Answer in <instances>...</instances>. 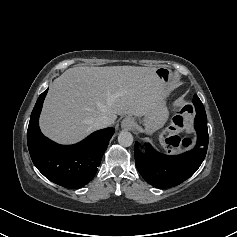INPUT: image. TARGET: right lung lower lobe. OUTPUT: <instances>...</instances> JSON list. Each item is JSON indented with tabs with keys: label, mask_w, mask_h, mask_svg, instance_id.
Listing matches in <instances>:
<instances>
[{
	"label": "right lung lower lobe",
	"mask_w": 237,
	"mask_h": 237,
	"mask_svg": "<svg viewBox=\"0 0 237 237\" xmlns=\"http://www.w3.org/2000/svg\"><path fill=\"white\" fill-rule=\"evenodd\" d=\"M47 91L39 96L30 117L27 143L31 159L50 181L66 188H80L96 174L114 129L96 131L74 145L56 144L41 133L38 124Z\"/></svg>",
	"instance_id": "obj_1"
}]
</instances>
